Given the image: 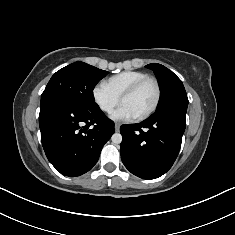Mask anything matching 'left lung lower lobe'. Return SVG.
Segmentation results:
<instances>
[{"instance_id": "1", "label": "left lung lower lobe", "mask_w": 235, "mask_h": 235, "mask_svg": "<svg viewBox=\"0 0 235 235\" xmlns=\"http://www.w3.org/2000/svg\"><path fill=\"white\" fill-rule=\"evenodd\" d=\"M185 116V112L172 110L152 115L140 124L122 125L120 153L125 167L143 179L166 173L178 156Z\"/></svg>"}]
</instances>
